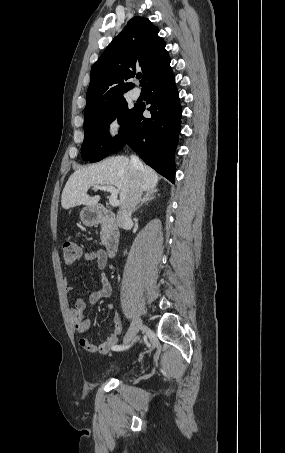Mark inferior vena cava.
I'll return each instance as SVG.
<instances>
[{"label":"inferior vena cava","instance_id":"obj_1","mask_svg":"<svg viewBox=\"0 0 285 453\" xmlns=\"http://www.w3.org/2000/svg\"><path fill=\"white\" fill-rule=\"evenodd\" d=\"M130 163L134 168L133 179L126 200L118 211L117 216L118 223L121 227L131 222V214L136 205L140 202L142 195V184L139 171L142 169L143 164L136 155H131Z\"/></svg>","mask_w":285,"mask_h":453}]
</instances>
